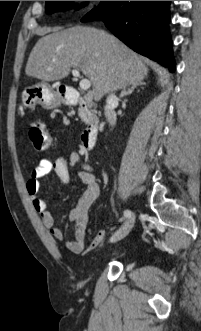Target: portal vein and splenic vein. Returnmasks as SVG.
<instances>
[{
    "instance_id": "obj_1",
    "label": "portal vein and splenic vein",
    "mask_w": 201,
    "mask_h": 331,
    "mask_svg": "<svg viewBox=\"0 0 201 331\" xmlns=\"http://www.w3.org/2000/svg\"><path fill=\"white\" fill-rule=\"evenodd\" d=\"M72 74H73V76L76 77V78H79V77H80V72H79L77 69H73V70H72ZM79 85H80V88H81L82 90L87 91V90L90 88L91 83H90V81H89L88 79H82V80L80 81Z\"/></svg>"
}]
</instances>
